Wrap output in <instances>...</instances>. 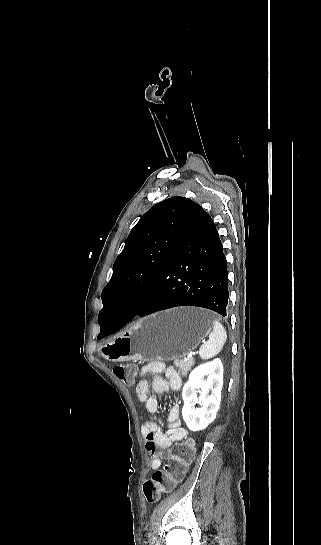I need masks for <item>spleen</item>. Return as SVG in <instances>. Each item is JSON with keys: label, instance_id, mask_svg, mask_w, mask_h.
Wrapping results in <instances>:
<instances>
[{"label": "spleen", "instance_id": "3e777b00", "mask_svg": "<svg viewBox=\"0 0 321 545\" xmlns=\"http://www.w3.org/2000/svg\"><path fill=\"white\" fill-rule=\"evenodd\" d=\"M213 331L209 335L208 341L201 345L199 349L200 359H212L220 353L224 343L227 341V333L219 321H213Z\"/></svg>", "mask_w": 321, "mask_h": 545}]
</instances>
